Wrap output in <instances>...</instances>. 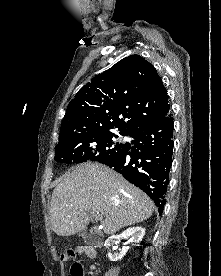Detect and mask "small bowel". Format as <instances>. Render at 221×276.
Listing matches in <instances>:
<instances>
[{
  "label": "small bowel",
  "instance_id": "1",
  "mask_svg": "<svg viewBox=\"0 0 221 276\" xmlns=\"http://www.w3.org/2000/svg\"><path fill=\"white\" fill-rule=\"evenodd\" d=\"M79 252L82 253V254H85L87 255L88 257L90 258H95L96 257V251L94 250L93 247L91 246H81L79 248Z\"/></svg>",
  "mask_w": 221,
  "mask_h": 276
}]
</instances>
